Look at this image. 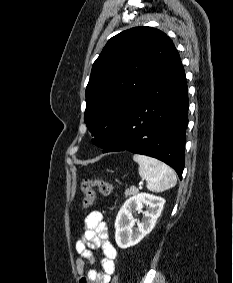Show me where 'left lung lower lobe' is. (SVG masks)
Returning <instances> with one entry per match:
<instances>
[{"mask_svg":"<svg viewBox=\"0 0 233 283\" xmlns=\"http://www.w3.org/2000/svg\"><path fill=\"white\" fill-rule=\"evenodd\" d=\"M188 108L185 72L174 47L149 77L131 114L104 152L128 150L157 158L181 179Z\"/></svg>","mask_w":233,"mask_h":283,"instance_id":"left-lung-lower-lobe-1","label":"left lung lower lobe"}]
</instances>
